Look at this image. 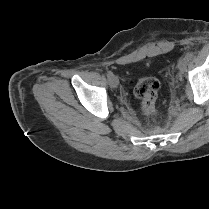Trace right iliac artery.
I'll return each mask as SVG.
<instances>
[{"instance_id":"obj_1","label":"right iliac artery","mask_w":209,"mask_h":209,"mask_svg":"<svg viewBox=\"0 0 209 209\" xmlns=\"http://www.w3.org/2000/svg\"><path fill=\"white\" fill-rule=\"evenodd\" d=\"M113 76V73L111 71L107 72V77L110 79Z\"/></svg>"}]
</instances>
